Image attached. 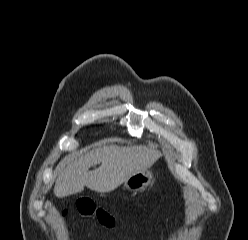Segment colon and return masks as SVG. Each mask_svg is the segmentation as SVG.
I'll list each match as a JSON object with an SVG mask.
<instances>
[{
	"instance_id": "1",
	"label": "colon",
	"mask_w": 248,
	"mask_h": 240,
	"mask_svg": "<svg viewBox=\"0 0 248 240\" xmlns=\"http://www.w3.org/2000/svg\"><path fill=\"white\" fill-rule=\"evenodd\" d=\"M76 210L83 217L94 218L103 227L112 228L116 224V219L111 213L101 207H97L91 200H79L76 203ZM64 215H67V210L64 211Z\"/></svg>"
}]
</instances>
